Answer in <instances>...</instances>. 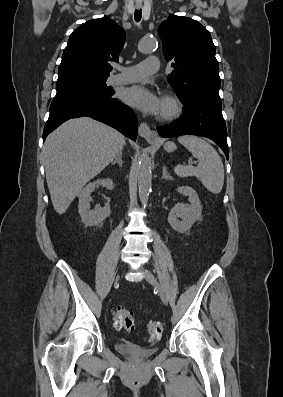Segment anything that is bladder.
Listing matches in <instances>:
<instances>
[{
    "label": "bladder",
    "mask_w": 283,
    "mask_h": 397,
    "mask_svg": "<svg viewBox=\"0 0 283 397\" xmlns=\"http://www.w3.org/2000/svg\"><path fill=\"white\" fill-rule=\"evenodd\" d=\"M115 348L122 354L139 358L150 357L156 352L155 347H142L129 341H119L116 343Z\"/></svg>",
    "instance_id": "bladder-1"
}]
</instances>
